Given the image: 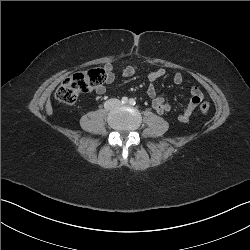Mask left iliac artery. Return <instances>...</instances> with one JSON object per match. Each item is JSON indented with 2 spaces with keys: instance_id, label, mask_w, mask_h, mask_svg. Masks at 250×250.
Segmentation results:
<instances>
[{
  "instance_id": "44dca946",
  "label": "left iliac artery",
  "mask_w": 250,
  "mask_h": 250,
  "mask_svg": "<svg viewBox=\"0 0 250 250\" xmlns=\"http://www.w3.org/2000/svg\"><path fill=\"white\" fill-rule=\"evenodd\" d=\"M129 104H130V105H135V104H136V101H135L134 99H130V100H129Z\"/></svg>"
}]
</instances>
